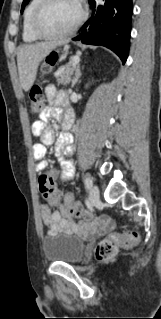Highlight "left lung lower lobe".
<instances>
[{"instance_id":"1","label":"left lung lower lobe","mask_w":161,"mask_h":319,"mask_svg":"<svg viewBox=\"0 0 161 319\" xmlns=\"http://www.w3.org/2000/svg\"><path fill=\"white\" fill-rule=\"evenodd\" d=\"M92 17L73 38L85 44L103 45L126 62L130 47L132 0H105L104 5L89 0Z\"/></svg>"}]
</instances>
